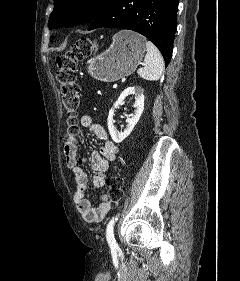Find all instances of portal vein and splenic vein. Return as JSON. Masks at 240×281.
Returning a JSON list of instances; mask_svg holds the SVG:
<instances>
[{
	"label": "portal vein and splenic vein",
	"instance_id": "obj_1",
	"mask_svg": "<svg viewBox=\"0 0 240 281\" xmlns=\"http://www.w3.org/2000/svg\"><path fill=\"white\" fill-rule=\"evenodd\" d=\"M116 88H117V84H114V85H113V89H116Z\"/></svg>",
	"mask_w": 240,
	"mask_h": 281
}]
</instances>
